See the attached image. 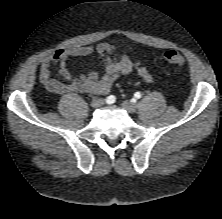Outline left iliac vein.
Wrapping results in <instances>:
<instances>
[{
	"label": "left iliac vein",
	"instance_id": "obj_1",
	"mask_svg": "<svg viewBox=\"0 0 222 219\" xmlns=\"http://www.w3.org/2000/svg\"><path fill=\"white\" fill-rule=\"evenodd\" d=\"M122 107L128 111L129 113H135L136 112V105L130 101H123Z\"/></svg>",
	"mask_w": 222,
	"mask_h": 219
}]
</instances>
